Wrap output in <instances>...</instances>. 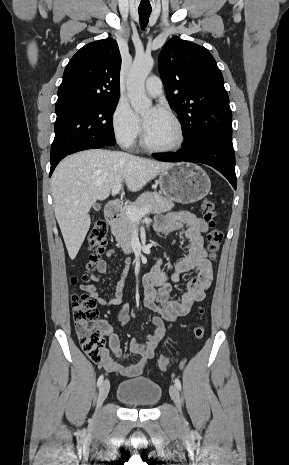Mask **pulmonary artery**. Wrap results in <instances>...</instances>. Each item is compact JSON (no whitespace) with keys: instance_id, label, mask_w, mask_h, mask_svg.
<instances>
[{"instance_id":"1","label":"pulmonary artery","mask_w":289,"mask_h":465,"mask_svg":"<svg viewBox=\"0 0 289 465\" xmlns=\"http://www.w3.org/2000/svg\"><path fill=\"white\" fill-rule=\"evenodd\" d=\"M145 87L149 95H159L162 92V81L158 76H150L146 81Z\"/></svg>"}]
</instances>
